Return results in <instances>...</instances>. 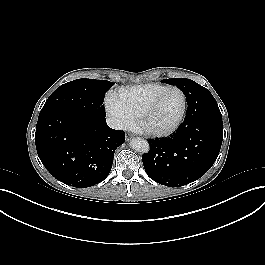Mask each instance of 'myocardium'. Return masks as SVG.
Instances as JSON below:
<instances>
[{
    "label": "myocardium",
    "mask_w": 265,
    "mask_h": 265,
    "mask_svg": "<svg viewBox=\"0 0 265 265\" xmlns=\"http://www.w3.org/2000/svg\"><path fill=\"white\" fill-rule=\"evenodd\" d=\"M170 90L178 91L182 97V108H181V112H180L178 118L176 119V121L171 126H169L166 129L155 130V129L149 128L146 125L147 118L149 117L151 112L154 110V108L157 106V104L159 103L161 98L164 96V94ZM186 111H187V97H186V94L184 93V91L177 86H166L162 91H160L151 100V102L148 104V106L145 108V110L141 114L140 121H139V130L141 132L145 133L146 135L152 136V137L169 136V135L173 134L181 126V124L184 121Z\"/></svg>",
    "instance_id": "f54148a6"
}]
</instances>
